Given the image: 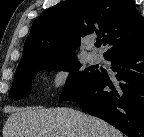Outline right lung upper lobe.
Segmentation results:
<instances>
[{"label":"right lung upper lobe","mask_w":144,"mask_h":137,"mask_svg":"<svg viewBox=\"0 0 144 137\" xmlns=\"http://www.w3.org/2000/svg\"><path fill=\"white\" fill-rule=\"evenodd\" d=\"M96 33L113 51L144 40V17L133 0H69L44 10L33 22L20 65L75 56L80 39Z\"/></svg>","instance_id":"right-lung-upper-lobe-1"}]
</instances>
